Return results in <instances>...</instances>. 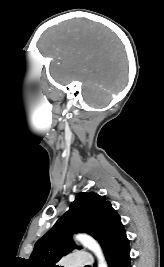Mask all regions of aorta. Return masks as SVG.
Segmentation results:
<instances>
[{
    "instance_id": "aorta-1",
    "label": "aorta",
    "mask_w": 164,
    "mask_h": 267,
    "mask_svg": "<svg viewBox=\"0 0 164 267\" xmlns=\"http://www.w3.org/2000/svg\"><path fill=\"white\" fill-rule=\"evenodd\" d=\"M82 245L92 251L98 259V267H107V262L105 261L104 255L102 253L99 244L90 236L86 234H79L76 237Z\"/></svg>"
}]
</instances>
